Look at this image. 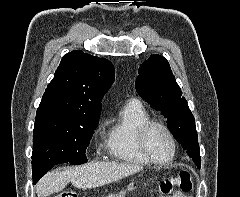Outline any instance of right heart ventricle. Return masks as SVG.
<instances>
[{
	"mask_svg": "<svg viewBox=\"0 0 240 197\" xmlns=\"http://www.w3.org/2000/svg\"><path fill=\"white\" fill-rule=\"evenodd\" d=\"M150 120V115L138 101H129L119 110L107 132L106 149L112 159L132 164L147 165L137 145V131Z\"/></svg>",
	"mask_w": 240,
	"mask_h": 197,
	"instance_id": "obj_1",
	"label": "right heart ventricle"
}]
</instances>
